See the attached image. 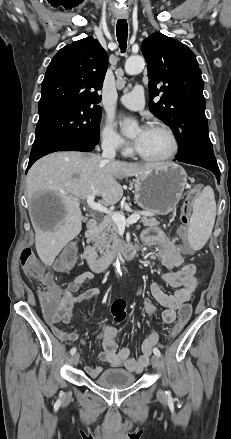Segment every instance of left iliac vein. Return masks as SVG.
I'll return each instance as SVG.
<instances>
[{
	"mask_svg": "<svg viewBox=\"0 0 231 439\" xmlns=\"http://www.w3.org/2000/svg\"><path fill=\"white\" fill-rule=\"evenodd\" d=\"M151 364H152V367L154 369H159L160 365H161L160 358L157 355H153L152 358H151ZM157 395H158L159 398H164L165 397L164 391L162 389H159L157 391Z\"/></svg>",
	"mask_w": 231,
	"mask_h": 439,
	"instance_id": "4c4485c4",
	"label": "left iliac vein"
}]
</instances>
